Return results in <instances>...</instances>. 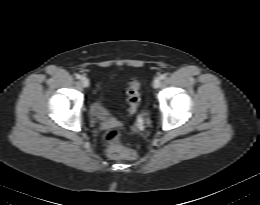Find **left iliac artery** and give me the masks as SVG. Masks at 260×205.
<instances>
[{
  "instance_id": "left-iliac-artery-1",
  "label": "left iliac artery",
  "mask_w": 260,
  "mask_h": 205,
  "mask_svg": "<svg viewBox=\"0 0 260 205\" xmlns=\"http://www.w3.org/2000/svg\"><path fill=\"white\" fill-rule=\"evenodd\" d=\"M160 78H161V79H165V78H166V74H162V75L160 76Z\"/></svg>"
}]
</instances>
